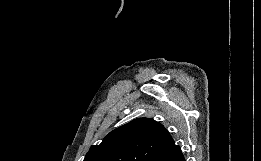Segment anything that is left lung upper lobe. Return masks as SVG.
<instances>
[{
	"label": "left lung upper lobe",
	"instance_id": "1",
	"mask_svg": "<svg viewBox=\"0 0 261 161\" xmlns=\"http://www.w3.org/2000/svg\"><path fill=\"white\" fill-rule=\"evenodd\" d=\"M173 142L160 123L138 118L111 131L100 145L91 146L84 161H151Z\"/></svg>",
	"mask_w": 261,
	"mask_h": 161
}]
</instances>
